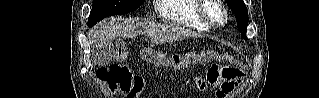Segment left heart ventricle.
Here are the masks:
<instances>
[{
	"label": "left heart ventricle",
	"mask_w": 319,
	"mask_h": 98,
	"mask_svg": "<svg viewBox=\"0 0 319 98\" xmlns=\"http://www.w3.org/2000/svg\"><path fill=\"white\" fill-rule=\"evenodd\" d=\"M208 14L210 15L211 19L214 20L215 22H221L222 20V12L221 10L215 6V5H210L208 8Z\"/></svg>",
	"instance_id": "obj_1"
}]
</instances>
